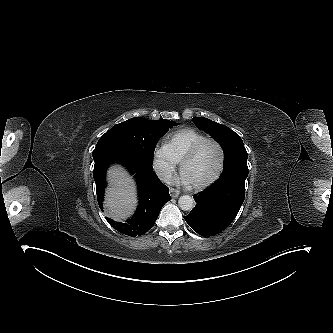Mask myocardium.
I'll return each instance as SVG.
<instances>
[{
  "label": "myocardium",
  "instance_id": "obj_1",
  "mask_svg": "<svg viewBox=\"0 0 333 333\" xmlns=\"http://www.w3.org/2000/svg\"><path fill=\"white\" fill-rule=\"evenodd\" d=\"M206 143H213L214 145H216L218 151H219V163H218V167L215 171V173L208 178L205 181L202 182H198V183H192V186L195 189H203L205 187L210 186L211 184H213L221 175L223 169H224V164H225V153H224V149L223 146L221 145V143L215 139V138H211V137H207L201 141H199L198 143H196L193 147L190 148V150L184 155V157L181 160V170L184 171V167L186 165V163H188L191 159H193L197 153L199 152V150L206 144Z\"/></svg>",
  "mask_w": 333,
  "mask_h": 333
}]
</instances>
